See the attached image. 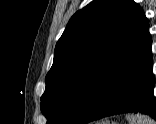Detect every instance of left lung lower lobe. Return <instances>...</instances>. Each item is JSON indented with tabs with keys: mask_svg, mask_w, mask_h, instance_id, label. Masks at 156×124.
<instances>
[{
	"mask_svg": "<svg viewBox=\"0 0 156 124\" xmlns=\"http://www.w3.org/2000/svg\"><path fill=\"white\" fill-rule=\"evenodd\" d=\"M151 43L147 30L104 79L78 124L127 112L156 120Z\"/></svg>",
	"mask_w": 156,
	"mask_h": 124,
	"instance_id": "0a47b994",
	"label": "left lung lower lobe"
}]
</instances>
